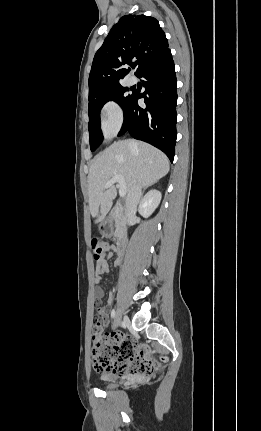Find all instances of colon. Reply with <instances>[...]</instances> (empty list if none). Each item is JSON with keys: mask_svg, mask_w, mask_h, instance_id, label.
Wrapping results in <instances>:
<instances>
[{"mask_svg": "<svg viewBox=\"0 0 261 431\" xmlns=\"http://www.w3.org/2000/svg\"><path fill=\"white\" fill-rule=\"evenodd\" d=\"M94 259L100 262L109 249L107 242L99 237L92 239ZM92 360L96 371L100 373L132 374L150 376L161 363L148 359L143 352L137 353L135 342L129 336L120 333H105L101 319L97 318L93 328ZM167 359L163 357L162 362Z\"/></svg>", "mask_w": 261, "mask_h": 431, "instance_id": "obj_1", "label": "colon"}]
</instances>
